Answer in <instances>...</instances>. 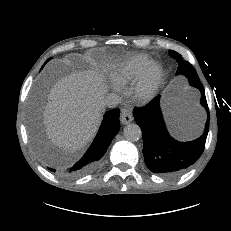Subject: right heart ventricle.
<instances>
[{
    "label": "right heart ventricle",
    "mask_w": 231,
    "mask_h": 231,
    "mask_svg": "<svg viewBox=\"0 0 231 231\" xmlns=\"http://www.w3.org/2000/svg\"><path fill=\"white\" fill-rule=\"evenodd\" d=\"M146 55H135L122 63L113 73L112 79L119 88L137 81L145 69L151 64Z\"/></svg>",
    "instance_id": "right-heart-ventricle-1"
}]
</instances>
